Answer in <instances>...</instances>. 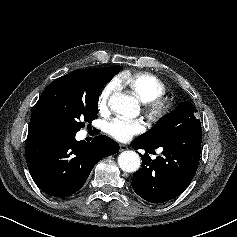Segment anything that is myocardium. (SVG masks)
<instances>
[{
	"instance_id": "1",
	"label": "myocardium",
	"mask_w": 237,
	"mask_h": 237,
	"mask_svg": "<svg viewBox=\"0 0 237 237\" xmlns=\"http://www.w3.org/2000/svg\"><path fill=\"white\" fill-rule=\"evenodd\" d=\"M147 112L153 119H161L166 116L172 108V104L165 98L157 97L146 102Z\"/></svg>"
}]
</instances>
